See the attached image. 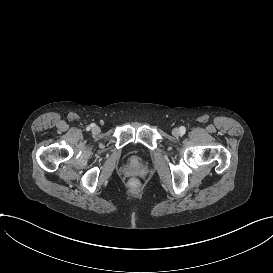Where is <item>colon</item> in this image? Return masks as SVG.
<instances>
[{"mask_svg": "<svg viewBox=\"0 0 273 273\" xmlns=\"http://www.w3.org/2000/svg\"><path fill=\"white\" fill-rule=\"evenodd\" d=\"M141 186V183L138 178L133 177L129 181V188L133 191H137Z\"/></svg>", "mask_w": 273, "mask_h": 273, "instance_id": "obj_1", "label": "colon"}]
</instances>
